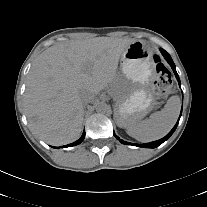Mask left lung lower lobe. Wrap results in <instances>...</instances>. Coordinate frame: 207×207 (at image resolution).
I'll list each match as a JSON object with an SVG mask.
<instances>
[{
    "mask_svg": "<svg viewBox=\"0 0 207 207\" xmlns=\"http://www.w3.org/2000/svg\"><path fill=\"white\" fill-rule=\"evenodd\" d=\"M160 51H161L162 55L164 56V58L166 59V61L170 64V66H171V68H172V70H173V72H174V74H175V76L178 80L179 86H180V79H179V76L176 72V67H175V64H174L173 60L171 59L170 55L165 50L160 49ZM180 116H181V114H180ZM179 119H180V117H179ZM179 119H178L176 125L173 127V129L164 138H162L160 140H157V141H154V142L145 143V144H133V143H129V142L120 140L119 137L116 136L115 134H114V136L118 140H120V142L123 143V144L134 145V146L144 147V148H156L157 146L162 144L164 141H166L173 134V132L175 131V129H176L178 123H179Z\"/></svg>",
    "mask_w": 207,
    "mask_h": 207,
    "instance_id": "obj_1",
    "label": "left lung lower lobe"
}]
</instances>
